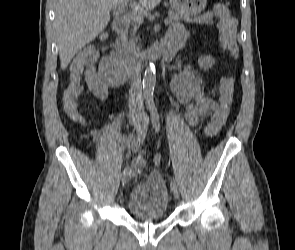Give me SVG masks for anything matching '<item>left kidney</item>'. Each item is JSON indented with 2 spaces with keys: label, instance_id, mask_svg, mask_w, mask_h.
<instances>
[{
  "label": "left kidney",
  "instance_id": "1",
  "mask_svg": "<svg viewBox=\"0 0 295 250\" xmlns=\"http://www.w3.org/2000/svg\"><path fill=\"white\" fill-rule=\"evenodd\" d=\"M198 64L201 68L207 70L215 64V60L211 56H201L198 59Z\"/></svg>",
  "mask_w": 295,
  "mask_h": 250
}]
</instances>
